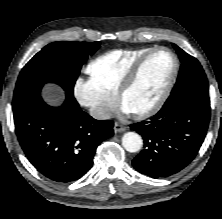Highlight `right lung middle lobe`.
<instances>
[{
    "instance_id": "1",
    "label": "right lung middle lobe",
    "mask_w": 222,
    "mask_h": 219,
    "mask_svg": "<svg viewBox=\"0 0 222 219\" xmlns=\"http://www.w3.org/2000/svg\"><path fill=\"white\" fill-rule=\"evenodd\" d=\"M100 42H53L38 52L22 69L13 97V108L40 97L46 83L73 91L80 69Z\"/></svg>"
}]
</instances>
